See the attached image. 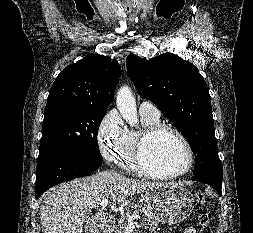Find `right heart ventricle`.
<instances>
[{"mask_svg":"<svg viewBox=\"0 0 253 233\" xmlns=\"http://www.w3.org/2000/svg\"><path fill=\"white\" fill-rule=\"evenodd\" d=\"M141 119L145 129L160 123L159 117L141 116ZM141 133L142 131L128 130L124 147L117 160L122 168L135 173H140L135 164L134 154Z\"/></svg>","mask_w":253,"mask_h":233,"instance_id":"obj_1","label":"right heart ventricle"}]
</instances>
